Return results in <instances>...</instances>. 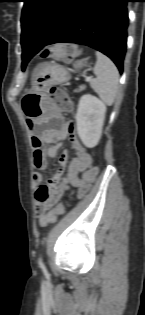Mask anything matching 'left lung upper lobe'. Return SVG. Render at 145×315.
Here are the masks:
<instances>
[{
  "mask_svg": "<svg viewBox=\"0 0 145 315\" xmlns=\"http://www.w3.org/2000/svg\"><path fill=\"white\" fill-rule=\"evenodd\" d=\"M74 0H24L21 37L33 35L42 42L49 40L61 26ZM23 59V58H22ZM30 59L22 61V70Z\"/></svg>",
  "mask_w": 145,
  "mask_h": 315,
  "instance_id": "1",
  "label": "left lung upper lobe"
}]
</instances>
